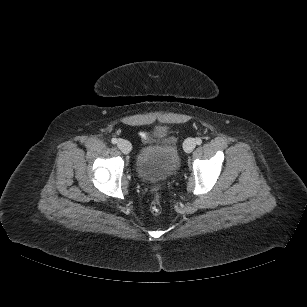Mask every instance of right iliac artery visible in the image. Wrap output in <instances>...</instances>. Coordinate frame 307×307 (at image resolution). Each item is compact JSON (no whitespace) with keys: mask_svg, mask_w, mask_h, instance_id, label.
<instances>
[{"mask_svg":"<svg viewBox=\"0 0 307 307\" xmlns=\"http://www.w3.org/2000/svg\"><path fill=\"white\" fill-rule=\"evenodd\" d=\"M111 142H112L113 144H116V143L118 142V140H117L116 138H113V139L111 140Z\"/></svg>","mask_w":307,"mask_h":307,"instance_id":"82829eb1","label":"right iliac artery"}]
</instances>
